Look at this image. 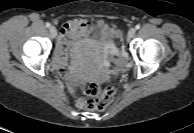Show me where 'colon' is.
Returning a JSON list of instances; mask_svg holds the SVG:
<instances>
[{
    "label": "colon",
    "instance_id": "obj_1",
    "mask_svg": "<svg viewBox=\"0 0 194 133\" xmlns=\"http://www.w3.org/2000/svg\"><path fill=\"white\" fill-rule=\"evenodd\" d=\"M80 88L86 97L79 98L77 105L82 109L90 111H101L105 109L116 95V90L113 87L101 89L92 82H83Z\"/></svg>",
    "mask_w": 194,
    "mask_h": 133
}]
</instances>
